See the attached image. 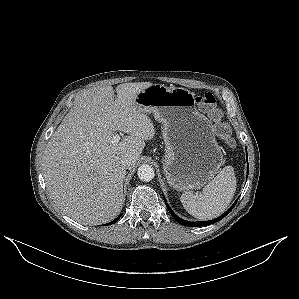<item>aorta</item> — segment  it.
Here are the masks:
<instances>
[{"mask_svg": "<svg viewBox=\"0 0 299 299\" xmlns=\"http://www.w3.org/2000/svg\"><path fill=\"white\" fill-rule=\"evenodd\" d=\"M137 175L144 182L151 181L155 174L153 168L148 164H143L138 168Z\"/></svg>", "mask_w": 299, "mask_h": 299, "instance_id": "762f6f07", "label": "aorta"}]
</instances>
